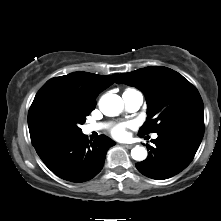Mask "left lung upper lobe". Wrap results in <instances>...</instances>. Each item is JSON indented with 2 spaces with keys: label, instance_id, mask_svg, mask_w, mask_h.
Returning <instances> with one entry per match:
<instances>
[{
  "label": "left lung upper lobe",
  "instance_id": "5c2ea615",
  "mask_svg": "<svg viewBox=\"0 0 221 221\" xmlns=\"http://www.w3.org/2000/svg\"><path fill=\"white\" fill-rule=\"evenodd\" d=\"M146 96L148 116L138 134L158 133L181 124L204 125V106L197 89L178 72L162 66L122 73L116 80Z\"/></svg>",
  "mask_w": 221,
  "mask_h": 221
}]
</instances>
